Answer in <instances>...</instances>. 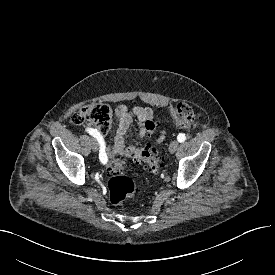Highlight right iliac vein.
<instances>
[{
  "label": "right iliac vein",
  "instance_id": "obj_1",
  "mask_svg": "<svg viewBox=\"0 0 275 275\" xmlns=\"http://www.w3.org/2000/svg\"><path fill=\"white\" fill-rule=\"evenodd\" d=\"M91 148H92L93 152L98 151V143L95 140L92 141Z\"/></svg>",
  "mask_w": 275,
  "mask_h": 275
}]
</instances>
